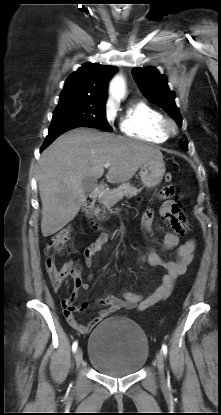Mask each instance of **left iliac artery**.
<instances>
[{
    "label": "left iliac artery",
    "mask_w": 221,
    "mask_h": 415,
    "mask_svg": "<svg viewBox=\"0 0 221 415\" xmlns=\"http://www.w3.org/2000/svg\"><path fill=\"white\" fill-rule=\"evenodd\" d=\"M162 352L166 356V354H167V346L165 344L162 345Z\"/></svg>",
    "instance_id": "left-iliac-artery-1"
}]
</instances>
